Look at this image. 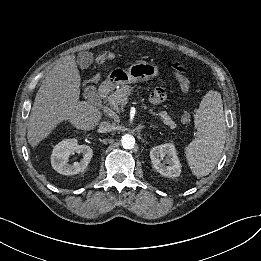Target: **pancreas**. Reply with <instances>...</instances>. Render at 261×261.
<instances>
[{"label":"pancreas","instance_id":"1","mask_svg":"<svg viewBox=\"0 0 261 261\" xmlns=\"http://www.w3.org/2000/svg\"><path fill=\"white\" fill-rule=\"evenodd\" d=\"M132 88L129 85H122L120 86L115 92L111 93L107 97V101L110 107L118 111L119 106L124 105L127 103V96L131 94ZM161 121L169 126L171 129L176 127V123L172 120V118L168 115L166 111H160L158 114Z\"/></svg>","mask_w":261,"mask_h":261}]
</instances>
